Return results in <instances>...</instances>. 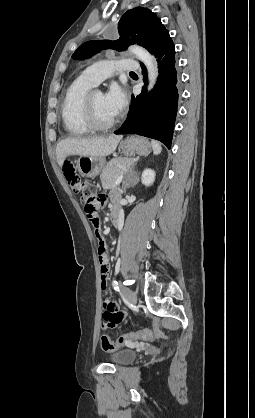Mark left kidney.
<instances>
[{
    "mask_svg": "<svg viewBox=\"0 0 255 418\" xmlns=\"http://www.w3.org/2000/svg\"><path fill=\"white\" fill-rule=\"evenodd\" d=\"M155 180V172L152 169H145L141 176V182L145 186H150Z\"/></svg>",
    "mask_w": 255,
    "mask_h": 418,
    "instance_id": "5707ae66",
    "label": "left kidney"
}]
</instances>
